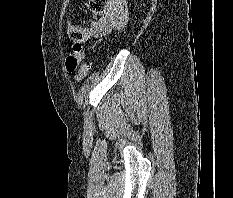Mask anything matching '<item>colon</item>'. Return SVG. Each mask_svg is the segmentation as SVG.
<instances>
[{"instance_id": "1", "label": "colon", "mask_w": 233, "mask_h": 198, "mask_svg": "<svg viewBox=\"0 0 233 198\" xmlns=\"http://www.w3.org/2000/svg\"><path fill=\"white\" fill-rule=\"evenodd\" d=\"M107 2L108 0H88V8L93 15V19L91 20L89 26L88 27H79L75 25L68 26L67 29L68 34L71 37V39L75 42V46H74L75 49L80 48L81 44L86 42L90 38L91 29L98 21V17L104 12L107 6ZM65 65H66V69L69 72H74L79 65V60L74 54H71L66 58ZM89 71H90V64L84 63L77 72L76 80L82 81L87 76Z\"/></svg>"}]
</instances>
